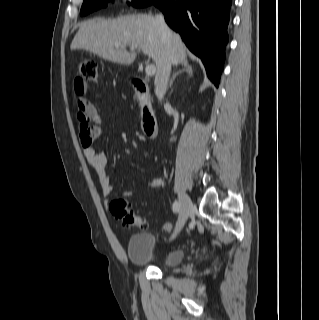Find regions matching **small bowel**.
Listing matches in <instances>:
<instances>
[{"mask_svg":"<svg viewBox=\"0 0 319 320\" xmlns=\"http://www.w3.org/2000/svg\"><path fill=\"white\" fill-rule=\"evenodd\" d=\"M75 93L78 96L77 116H84L88 122L91 123V129L95 137L98 138L103 132L102 119L96 109V107L89 102L85 97L86 86L74 83ZM95 138V139H96ZM84 156L90 166L95 170L98 184L101 189L103 197H108L112 191L113 186L110 177L106 173L107 157L104 153L97 150L93 145H84ZM164 182L161 178H154L147 183V188L157 189L163 187ZM131 191H126L125 195L130 196Z\"/></svg>","mask_w":319,"mask_h":320,"instance_id":"obj_1","label":"small bowel"}]
</instances>
